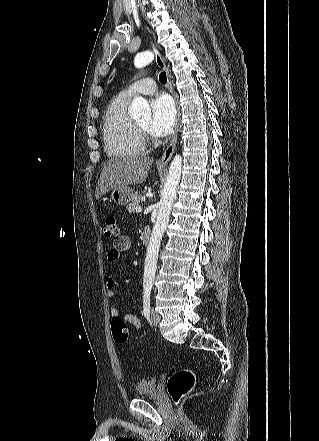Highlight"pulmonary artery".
<instances>
[{
	"mask_svg": "<svg viewBox=\"0 0 319 441\" xmlns=\"http://www.w3.org/2000/svg\"><path fill=\"white\" fill-rule=\"evenodd\" d=\"M156 88V83L153 79L144 78L131 84L129 87L123 90L120 95L130 99L131 97L139 94H153L156 91Z\"/></svg>",
	"mask_w": 319,
	"mask_h": 441,
	"instance_id": "e3ab8cb5",
	"label": "pulmonary artery"
}]
</instances>
